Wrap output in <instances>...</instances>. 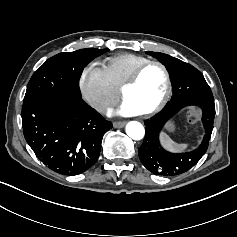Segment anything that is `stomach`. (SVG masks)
Returning <instances> with one entry per match:
<instances>
[{"mask_svg": "<svg viewBox=\"0 0 237 237\" xmlns=\"http://www.w3.org/2000/svg\"><path fill=\"white\" fill-rule=\"evenodd\" d=\"M165 127L170 132H173L175 130V126H174V123L172 121L168 122Z\"/></svg>", "mask_w": 237, "mask_h": 237, "instance_id": "obj_1", "label": "stomach"}]
</instances>
